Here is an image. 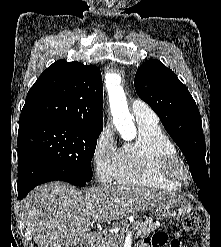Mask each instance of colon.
<instances>
[{
	"label": "colon",
	"instance_id": "1",
	"mask_svg": "<svg viewBox=\"0 0 221 247\" xmlns=\"http://www.w3.org/2000/svg\"><path fill=\"white\" fill-rule=\"evenodd\" d=\"M199 226L198 213H191L188 215L182 224V232L174 235L173 238H169L164 234H156L149 241L153 247H186L187 240L184 234L194 232ZM78 247H87L85 244H81Z\"/></svg>",
	"mask_w": 221,
	"mask_h": 247
}]
</instances>
